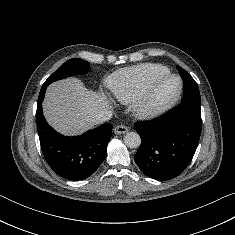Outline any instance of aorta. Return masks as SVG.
Here are the masks:
<instances>
[{
    "instance_id": "aorta-1",
    "label": "aorta",
    "mask_w": 235,
    "mask_h": 235,
    "mask_svg": "<svg viewBox=\"0 0 235 235\" xmlns=\"http://www.w3.org/2000/svg\"><path fill=\"white\" fill-rule=\"evenodd\" d=\"M124 142L127 147L129 148H137L141 144V138L138 133L136 132H128L124 136Z\"/></svg>"
}]
</instances>
